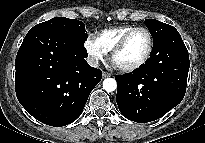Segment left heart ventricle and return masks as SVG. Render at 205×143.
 <instances>
[{
  "label": "left heart ventricle",
  "instance_id": "b2bd125f",
  "mask_svg": "<svg viewBox=\"0 0 205 143\" xmlns=\"http://www.w3.org/2000/svg\"><path fill=\"white\" fill-rule=\"evenodd\" d=\"M148 48V36L144 31L134 32L128 39L123 50L114 59L117 66H131L139 62Z\"/></svg>",
  "mask_w": 205,
  "mask_h": 143
}]
</instances>
